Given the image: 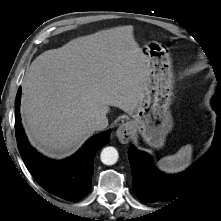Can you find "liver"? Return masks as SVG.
Masks as SVG:
<instances>
[{
    "label": "liver",
    "mask_w": 221,
    "mask_h": 221,
    "mask_svg": "<svg viewBox=\"0 0 221 221\" xmlns=\"http://www.w3.org/2000/svg\"><path fill=\"white\" fill-rule=\"evenodd\" d=\"M150 68L133 27L102 30L40 54L22 83V123L44 155H72L93 134L90 122L109 106L133 114Z\"/></svg>",
    "instance_id": "6515ba94"
}]
</instances>
